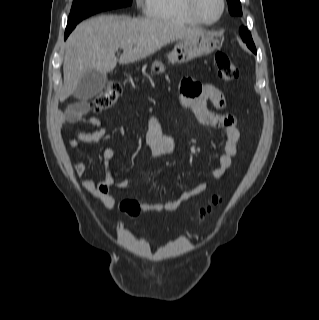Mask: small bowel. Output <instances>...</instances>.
<instances>
[{"label":"small bowel","mask_w":319,"mask_h":320,"mask_svg":"<svg viewBox=\"0 0 319 320\" xmlns=\"http://www.w3.org/2000/svg\"><path fill=\"white\" fill-rule=\"evenodd\" d=\"M177 103L180 107L190 108L202 124L224 131V151L218 157V166L212 171L213 180L222 179L232 165L240 141L236 117L233 114L222 112L226 107L224 94L212 84H202L191 78H184L181 82V91L177 96ZM208 103H211L218 111L209 109ZM88 111V105L85 102H79L58 119L59 126L84 122L95 128L91 132L75 130L68 141L71 148L77 147L79 141H97L107 135L102 122L95 117L88 116ZM145 140L154 157H165L174 152L175 141L161 130L159 116L153 118ZM115 155L114 147L108 145L102 152L103 178L97 181L89 177L82 181L84 190L91 196L100 199L107 208L116 205V199L111 195L112 190H126L129 187L126 180L117 181L115 179L110 165ZM74 170L77 176L82 177L86 172L85 162L78 161ZM206 188V183H200L184 191L178 199L166 202L145 201L142 202L141 208L144 212L174 211L181 203L204 192Z\"/></svg>","instance_id":"small-bowel-1"}]
</instances>
